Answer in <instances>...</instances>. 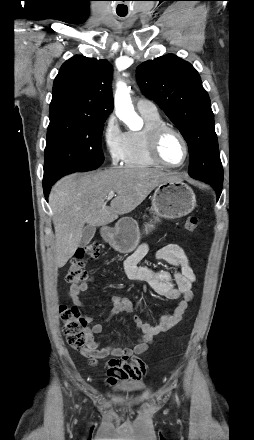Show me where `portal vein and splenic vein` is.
<instances>
[{
  "instance_id": "1",
  "label": "portal vein and splenic vein",
  "mask_w": 254,
  "mask_h": 440,
  "mask_svg": "<svg viewBox=\"0 0 254 440\" xmlns=\"http://www.w3.org/2000/svg\"><path fill=\"white\" fill-rule=\"evenodd\" d=\"M115 196V192L111 191L109 192L108 196L106 197L107 200L112 199Z\"/></svg>"
}]
</instances>
